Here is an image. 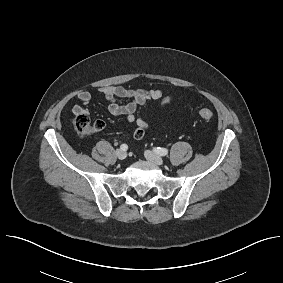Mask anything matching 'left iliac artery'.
Here are the masks:
<instances>
[{"instance_id": "obj_1", "label": "left iliac artery", "mask_w": 283, "mask_h": 283, "mask_svg": "<svg viewBox=\"0 0 283 283\" xmlns=\"http://www.w3.org/2000/svg\"><path fill=\"white\" fill-rule=\"evenodd\" d=\"M154 151L161 156H165L168 154V150L166 148L157 147L154 148Z\"/></svg>"}]
</instances>
